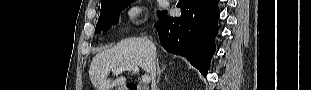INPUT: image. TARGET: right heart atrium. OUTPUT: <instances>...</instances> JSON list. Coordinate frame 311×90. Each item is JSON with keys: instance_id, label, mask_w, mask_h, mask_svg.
Instances as JSON below:
<instances>
[{"instance_id": "1", "label": "right heart atrium", "mask_w": 311, "mask_h": 90, "mask_svg": "<svg viewBox=\"0 0 311 90\" xmlns=\"http://www.w3.org/2000/svg\"><path fill=\"white\" fill-rule=\"evenodd\" d=\"M142 10L138 6H132L127 11V17L130 20L138 19L141 16Z\"/></svg>"}]
</instances>
